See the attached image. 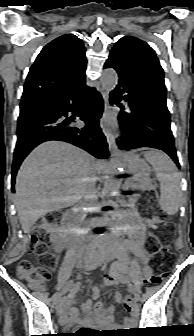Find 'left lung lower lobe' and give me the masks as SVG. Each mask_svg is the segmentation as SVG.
Segmentation results:
<instances>
[{
	"label": "left lung lower lobe",
	"mask_w": 194,
	"mask_h": 336,
	"mask_svg": "<svg viewBox=\"0 0 194 336\" xmlns=\"http://www.w3.org/2000/svg\"><path fill=\"white\" fill-rule=\"evenodd\" d=\"M104 68H114L119 75L116 88L110 93V103L128 102L129 108L118 116L123 136L117 140L121 150L149 147L166 152L179 166L174 139L170 128V114L166 104L149 97L126 75L120 72L112 58H108Z\"/></svg>",
	"instance_id": "obj_1"
}]
</instances>
